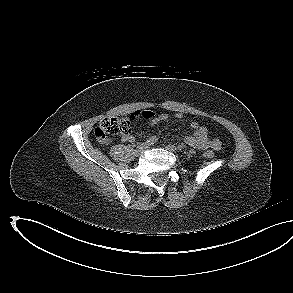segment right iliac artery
Returning <instances> with one entry per match:
<instances>
[{
	"label": "right iliac artery",
	"mask_w": 293,
	"mask_h": 293,
	"mask_svg": "<svg viewBox=\"0 0 293 293\" xmlns=\"http://www.w3.org/2000/svg\"><path fill=\"white\" fill-rule=\"evenodd\" d=\"M157 140H158V138H157L156 136H153V137L149 138V139L145 142V144H147V145L150 146V145L154 144Z\"/></svg>",
	"instance_id": "82829eb1"
}]
</instances>
